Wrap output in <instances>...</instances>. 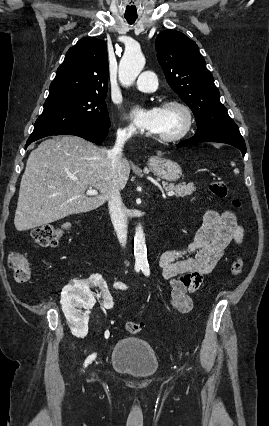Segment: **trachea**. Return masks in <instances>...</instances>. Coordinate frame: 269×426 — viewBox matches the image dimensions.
Listing matches in <instances>:
<instances>
[{
	"instance_id": "1",
	"label": "trachea",
	"mask_w": 269,
	"mask_h": 426,
	"mask_svg": "<svg viewBox=\"0 0 269 426\" xmlns=\"http://www.w3.org/2000/svg\"><path fill=\"white\" fill-rule=\"evenodd\" d=\"M126 20L129 24H133L135 22L136 18H126Z\"/></svg>"
}]
</instances>
